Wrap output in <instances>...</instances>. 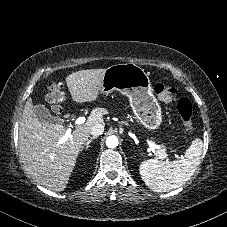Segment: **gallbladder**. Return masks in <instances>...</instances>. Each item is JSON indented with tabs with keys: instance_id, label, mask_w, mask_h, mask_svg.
<instances>
[{
	"instance_id": "bac80fb5",
	"label": "gallbladder",
	"mask_w": 227,
	"mask_h": 227,
	"mask_svg": "<svg viewBox=\"0 0 227 227\" xmlns=\"http://www.w3.org/2000/svg\"><path fill=\"white\" fill-rule=\"evenodd\" d=\"M34 116L41 122L46 123H59L63 120L61 118L52 116L50 111L41 104H37L33 107Z\"/></svg>"
}]
</instances>
